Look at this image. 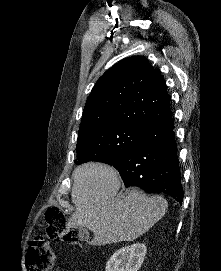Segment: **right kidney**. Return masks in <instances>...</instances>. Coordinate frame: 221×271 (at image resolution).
<instances>
[{
  "mask_svg": "<svg viewBox=\"0 0 221 271\" xmlns=\"http://www.w3.org/2000/svg\"><path fill=\"white\" fill-rule=\"evenodd\" d=\"M147 247L145 243H132L117 249L108 259L105 271H138L144 261Z\"/></svg>",
  "mask_w": 221,
  "mask_h": 271,
  "instance_id": "ca27d5eb",
  "label": "right kidney"
}]
</instances>
